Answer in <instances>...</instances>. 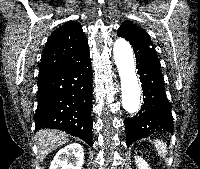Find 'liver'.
Segmentation results:
<instances>
[{
  "mask_svg": "<svg viewBox=\"0 0 200 169\" xmlns=\"http://www.w3.org/2000/svg\"><path fill=\"white\" fill-rule=\"evenodd\" d=\"M40 162L58 146L68 142V134L56 129H41L36 133Z\"/></svg>",
  "mask_w": 200,
  "mask_h": 169,
  "instance_id": "6515ba94",
  "label": "liver"
}]
</instances>
